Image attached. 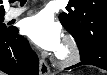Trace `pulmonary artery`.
I'll return each instance as SVG.
<instances>
[{
    "mask_svg": "<svg viewBox=\"0 0 107 75\" xmlns=\"http://www.w3.org/2000/svg\"><path fill=\"white\" fill-rule=\"evenodd\" d=\"M26 10H27V7L12 8L8 11L7 18L8 19L16 18L21 14H23Z\"/></svg>",
    "mask_w": 107,
    "mask_h": 75,
    "instance_id": "e3ab8cb5",
    "label": "pulmonary artery"
}]
</instances>
